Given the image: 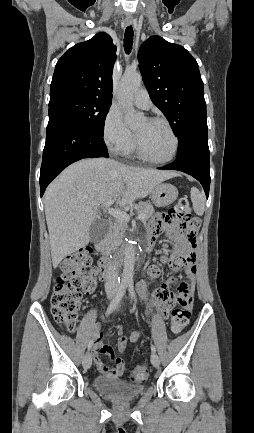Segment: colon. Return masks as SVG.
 <instances>
[{"instance_id": "1", "label": "colon", "mask_w": 254, "mask_h": 433, "mask_svg": "<svg viewBox=\"0 0 254 433\" xmlns=\"http://www.w3.org/2000/svg\"><path fill=\"white\" fill-rule=\"evenodd\" d=\"M165 225H172L184 232L188 242L196 245V235L200 220L193 215L186 198H181L167 212L160 215ZM91 252L78 250L67 256L61 263V273L57 277L51 297V311L57 323L67 331H73L77 324L83 294H90L96 288V275L99 267L88 270L91 265ZM176 307L171 311L170 328L174 334L182 332L190 320L191 298L179 296ZM149 373L146 362L138 364L131 372L132 381H144Z\"/></svg>"}]
</instances>
